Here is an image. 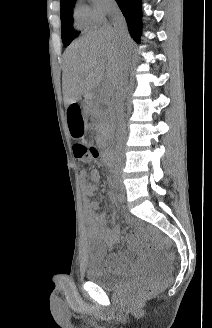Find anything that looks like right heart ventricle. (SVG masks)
Instances as JSON below:
<instances>
[{
	"label": "right heart ventricle",
	"mask_w": 212,
	"mask_h": 328,
	"mask_svg": "<svg viewBox=\"0 0 212 328\" xmlns=\"http://www.w3.org/2000/svg\"><path fill=\"white\" fill-rule=\"evenodd\" d=\"M74 22L78 28H86L93 24L84 8L78 7L74 13Z\"/></svg>",
	"instance_id": "1"
}]
</instances>
